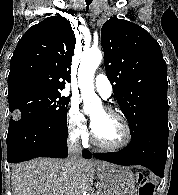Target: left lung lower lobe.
Listing matches in <instances>:
<instances>
[{
  "mask_svg": "<svg viewBox=\"0 0 178 195\" xmlns=\"http://www.w3.org/2000/svg\"><path fill=\"white\" fill-rule=\"evenodd\" d=\"M169 130L149 132L132 139L117 153H95L98 159L119 165H142L163 177L167 160Z\"/></svg>",
  "mask_w": 178,
  "mask_h": 195,
  "instance_id": "left-lung-lower-lobe-1",
  "label": "left lung lower lobe"
}]
</instances>
